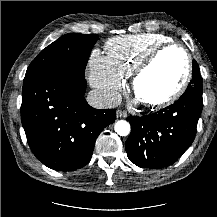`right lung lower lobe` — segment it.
Here are the masks:
<instances>
[{
    "label": "right lung lower lobe",
    "instance_id": "1",
    "mask_svg": "<svg viewBox=\"0 0 217 217\" xmlns=\"http://www.w3.org/2000/svg\"><path fill=\"white\" fill-rule=\"evenodd\" d=\"M86 80L56 62L23 81L21 120L33 154L47 167L72 171L91 159L96 138L115 121V109H95L84 98Z\"/></svg>",
    "mask_w": 217,
    "mask_h": 217
}]
</instances>
